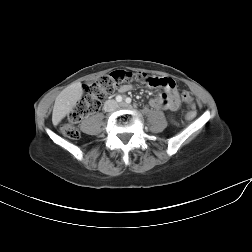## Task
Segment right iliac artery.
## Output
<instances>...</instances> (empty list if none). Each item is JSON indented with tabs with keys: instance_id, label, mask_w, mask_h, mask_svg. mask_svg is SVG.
I'll return each instance as SVG.
<instances>
[{
	"instance_id": "82829eb1",
	"label": "right iliac artery",
	"mask_w": 252,
	"mask_h": 252,
	"mask_svg": "<svg viewBox=\"0 0 252 252\" xmlns=\"http://www.w3.org/2000/svg\"><path fill=\"white\" fill-rule=\"evenodd\" d=\"M122 100H123V98H122L120 95H118V96L116 97V101H117V102H122Z\"/></svg>"
}]
</instances>
